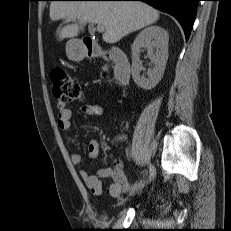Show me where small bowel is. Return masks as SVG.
Returning a JSON list of instances; mask_svg holds the SVG:
<instances>
[{
	"label": "small bowel",
	"instance_id": "c3829d8e",
	"mask_svg": "<svg viewBox=\"0 0 231 231\" xmlns=\"http://www.w3.org/2000/svg\"><path fill=\"white\" fill-rule=\"evenodd\" d=\"M82 113L87 116H100L103 109L100 105L88 104L82 107ZM71 111L64 105H58V121L57 126L59 130L67 132L71 129ZM88 156L91 159H96L100 153V142L93 139L88 144ZM82 157L79 153L73 152L70 154V161L73 165H79ZM79 175L95 196L103 193V180L111 179V183L107 187V194L113 198L121 200L122 193L133 192V187L128 182L123 166L117 162L113 168H99L95 174H90L86 170L81 169Z\"/></svg>",
	"mask_w": 231,
	"mask_h": 231
}]
</instances>
